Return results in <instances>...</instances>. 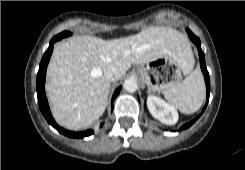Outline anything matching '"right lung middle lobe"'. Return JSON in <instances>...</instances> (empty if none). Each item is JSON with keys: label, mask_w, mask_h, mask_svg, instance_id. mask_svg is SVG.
<instances>
[{"label": "right lung middle lobe", "mask_w": 245, "mask_h": 170, "mask_svg": "<svg viewBox=\"0 0 245 170\" xmlns=\"http://www.w3.org/2000/svg\"><path fill=\"white\" fill-rule=\"evenodd\" d=\"M70 35H71L70 32L64 31V32L58 34L56 37H58V39H62V38H64V37H67V36H70Z\"/></svg>", "instance_id": "dd1d6c3e"}]
</instances>
